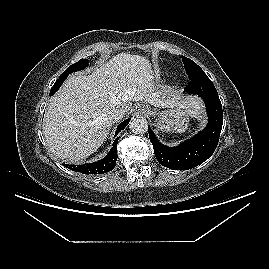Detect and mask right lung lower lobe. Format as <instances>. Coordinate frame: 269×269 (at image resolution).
I'll list each match as a JSON object with an SVG mask.
<instances>
[{
	"label": "right lung lower lobe",
	"instance_id": "1",
	"mask_svg": "<svg viewBox=\"0 0 269 269\" xmlns=\"http://www.w3.org/2000/svg\"><path fill=\"white\" fill-rule=\"evenodd\" d=\"M68 75H61L59 79L54 83L53 87L50 90V94L53 95L62 85L64 80L67 78ZM130 118L124 120L118 127L115 134V137L118 135V133L123 130L129 123ZM119 137H116L112 149L109 151L106 157L103 159L90 163V164H84V165H69V164H63L68 169H71L76 172H80L86 175H97V174H103L107 173L114 169L116 161H117V144H118Z\"/></svg>",
	"mask_w": 269,
	"mask_h": 269
}]
</instances>
